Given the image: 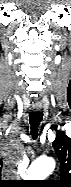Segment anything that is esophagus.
I'll list each match as a JSON object with an SVG mask.
<instances>
[{
	"label": "esophagus",
	"instance_id": "esophagus-1",
	"mask_svg": "<svg viewBox=\"0 0 71 187\" xmlns=\"http://www.w3.org/2000/svg\"><path fill=\"white\" fill-rule=\"evenodd\" d=\"M31 109L34 111V112H39L41 110V106H38V105H34L31 107Z\"/></svg>",
	"mask_w": 71,
	"mask_h": 187
}]
</instances>
